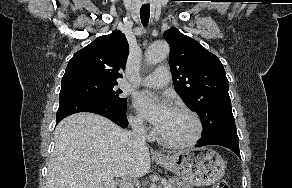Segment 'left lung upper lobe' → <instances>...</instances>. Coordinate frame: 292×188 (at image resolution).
<instances>
[{
    "label": "left lung upper lobe",
    "mask_w": 292,
    "mask_h": 188,
    "mask_svg": "<svg viewBox=\"0 0 292 188\" xmlns=\"http://www.w3.org/2000/svg\"><path fill=\"white\" fill-rule=\"evenodd\" d=\"M170 45L169 65L176 92L198 113L202 136L235 125L229 82L221 61L176 28L164 32Z\"/></svg>",
    "instance_id": "5c2ea615"
}]
</instances>
